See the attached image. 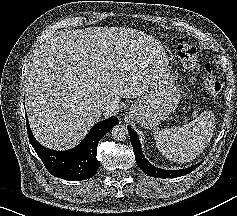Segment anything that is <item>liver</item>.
I'll return each instance as SVG.
<instances>
[{"label":"liver","mask_w":237,"mask_h":216,"mask_svg":"<svg viewBox=\"0 0 237 216\" xmlns=\"http://www.w3.org/2000/svg\"><path fill=\"white\" fill-rule=\"evenodd\" d=\"M114 29L67 30L42 47L26 73V108L37 140L48 147L78 143L101 115L99 101L138 98L157 74L120 61Z\"/></svg>","instance_id":"obj_1"}]
</instances>
